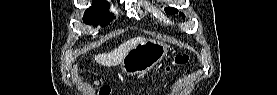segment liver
Wrapping results in <instances>:
<instances>
[{
	"mask_svg": "<svg viewBox=\"0 0 277 95\" xmlns=\"http://www.w3.org/2000/svg\"><path fill=\"white\" fill-rule=\"evenodd\" d=\"M144 39L145 38L143 37L130 39L109 53L96 55L95 60L97 63L103 66H115L117 64H120L126 54Z\"/></svg>",
	"mask_w": 277,
	"mask_h": 95,
	"instance_id": "liver-1",
	"label": "liver"
}]
</instances>
